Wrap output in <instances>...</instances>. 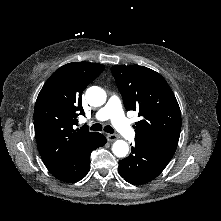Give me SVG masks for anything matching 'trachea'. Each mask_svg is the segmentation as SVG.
<instances>
[{
    "instance_id": "trachea-1",
    "label": "trachea",
    "mask_w": 221,
    "mask_h": 221,
    "mask_svg": "<svg viewBox=\"0 0 221 221\" xmlns=\"http://www.w3.org/2000/svg\"><path fill=\"white\" fill-rule=\"evenodd\" d=\"M90 129H91V130H94V131H102V129H104V131L107 132V133H110V134L114 133V130H113V128H112L111 126L106 125V126H104V128H103L102 125L99 124V123L93 124V125L90 127Z\"/></svg>"
}]
</instances>
